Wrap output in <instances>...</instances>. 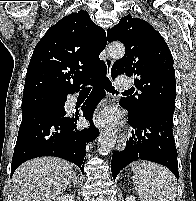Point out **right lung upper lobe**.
Returning <instances> with one entry per match:
<instances>
[{
	"label": "right lung upper lobe",
	"instance_id": "1",
	"mask_svg": "<svg viewBox=\"0 0 196 201\" xmlns=\"http://www.w3.org/2000/svg\"><path fill=\"white\" fill-rule=\"evenodd\" d=\"M106 46L105 31L87 11L63 17L36 45L28 65L23 97L66 96L106 72L99 59Z\"/></svg>",
	"mask_w": 196,
	"mask_h": 201
}]
</instances>
